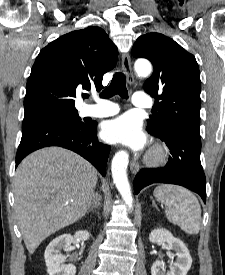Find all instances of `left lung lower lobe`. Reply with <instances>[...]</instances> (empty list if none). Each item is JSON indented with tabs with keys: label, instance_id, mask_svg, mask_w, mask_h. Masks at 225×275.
Masks as SVG:
<instances>
[{
	"label": "left lung lower lobe",
	"instance_id": "0a47b994",
	"mask_svg": "<svg viewBox=\"0 0 225 275\" xmlns=\"http://www.w3.org/2000/svg\"><path fill=\"white\" fill-rule=\"evenodd\" d=\"M156 137L166 143L172 156L162 168L140 171L134 179L135 193L152 183H171L198 193L206 202V180L200 162V135L171 132Z\"/></svg>",
	"mask_w": 225,
	"mask_h": 275
}]
</instances>
